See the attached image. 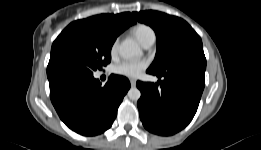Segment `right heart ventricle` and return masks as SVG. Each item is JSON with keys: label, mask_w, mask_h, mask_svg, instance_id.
<instances>
[{"label": "right heart ventricle", "mask_w": 261, "mask_h": 150, "mask_svg": "<svg viewBox=\"0 0 261 150\" xmlns=\"http://www.w3.org/2000/svg\"><path fill=\"white\" fill-rule=\"evenodd\" d=\"M133 34L141 44H143L149 36L155 35L153 29L145 24L135 26L133 28Z\"/></svg>", "instance_id": "right-heart-ventricle-1"}]
</instances>
